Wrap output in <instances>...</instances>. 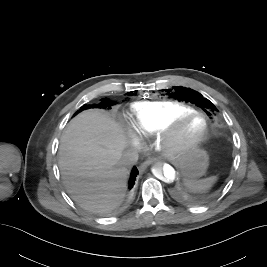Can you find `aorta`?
Masks as SVG:
<instances>
[{
    "mask_svg": "<svg viewBox=\"0 0 267 267\" xmlns=\"http://www.w3.org/2000/svg\"><path fill=\"white\" fill-rule=\"evenodd\" d=\"M151 171L157 179L164 182H172L176 178V170L167 163L156 162Z\"/></svg>",
    "mask_w": 267,
    "mask_h": 267,
    "instance_id": "aorta-1",
    "label": "aorta"
}]
</instances>
